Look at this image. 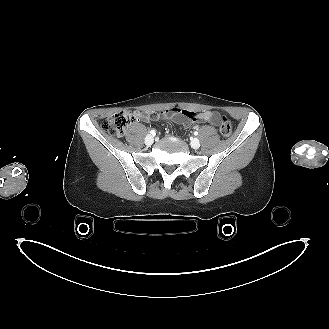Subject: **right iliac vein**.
<instances>
[{
    "label": "right iliac vein",
    "mask_w": 329,
    "mask_h": 329,
    "mask_svg": "<svg viewBox=\"0 0 329 329\" xmlns=\"http://www.w3.org/2000/svg\"><path fill=\"white\" fill-rule=\"evenodd\" d=\"M146 145H151L154 142V138L151 135H147L144 140Z\"/></svg>",
    "instance_id": "obj_1"
}]
</instances>
